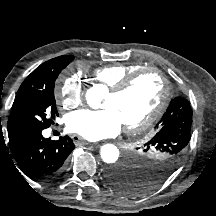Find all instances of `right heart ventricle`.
Returning a JSON list of instances; mask_svg holds the SVG:
<instances>
[{
	"mask_svg": "<svg viewBox=\"0 0 216 216\" xmlns=\"http://www.w3.org/2000/svg\"><path fill=\"white\" fill-rule=\"evenodd\" d=\"M142 68L134 63H115L97 68L93 75L95 80L111 88L128 74Z\"/></svg>",
	"mask_w": 216,
	"mask_h": 216,
	"instance_id": "e07e8e85",
	"label": "right heart ventricle"
}]
</instances>
